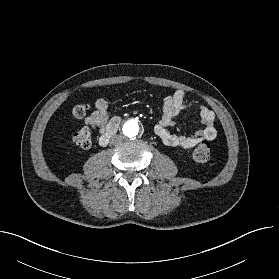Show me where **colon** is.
<instances>
[{
    "label": "colon",
    "instance_id": "obj_1",
    "mask_svg": "<svg viewBox=\"0 0 279 279\" xmlns=\"http://www.w3.org/2000/svg\"><path fill=\"white\" fill-rule=\"evenodd\" d=\"M88 110V106L84 104L75 105L72 114L75 118H83ZM71 142L80 148H89L92 143V133L90 128L83 127L74 132L70 137ZM210 144L203 142L193 151V159L199 163H206L210 159Z\"/></svg>",
    "mask_w": 279,
    "mask_h": 279
}]
</instances>
